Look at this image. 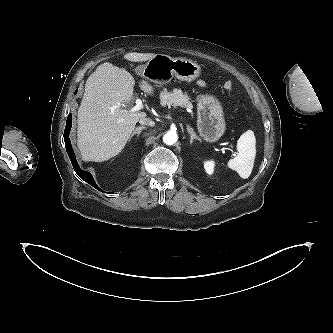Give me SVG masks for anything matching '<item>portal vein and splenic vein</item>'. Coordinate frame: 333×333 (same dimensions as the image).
Segmentation results:
<instances>
[{
    "instance_id": "18ae733b",
    "label": "portal vein and splenic vein",
    "mask_w": 333,
    "mask_h": 333,
    "mask_svg": "<svg viewBox=\"0 0 333 333\" xmlns=\"http://www.w3.org/2000/svg\"><path fill=\"white\" fill-rule=\"evenodd\" d=\"M116 108V107H115ZM143 108V103H142V100L141 99H136V105L132 108V111L135 112V111H139L140 109ZM235 155V154H234Z\"/></svg>"
}]
</instances>
